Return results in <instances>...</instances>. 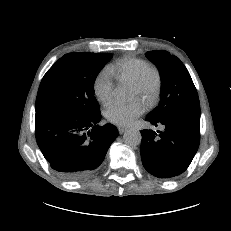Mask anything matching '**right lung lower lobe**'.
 I'll use <instances>...</instances> for the list:
<instances>
[{"label": "right lung lower lobe", "mask_w": 231, "mask_h": 231, "mask_svg": "<svg viewBox=\"0 0 231 231\" xmlns=\"http://www.w3.org/2000/svg\"><path fill=\"white\" fill-rule=\"evenodd\" d=\"M100 120V112L91 117L46 110L36 112L37 144L60 176L82 180L96 172L118 136L114 125L99 126Z\"/></svg>", "instance_id": "obj_1"}]
</instances>
